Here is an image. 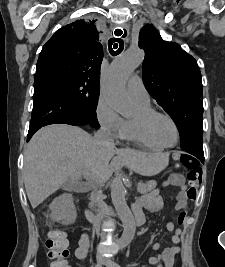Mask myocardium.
Instances as JSON below:
<instances>
[{
	"instance_id": "1",
	"label": "myocardium",
	"mask_w": 225,
	"mask_h": 267,
	"mask_svg": "<svg viewBox=\"0 0 225 267\" xmlns=\"http://www.w3.org/2000/svg\"><path fill=\"white\" fill-rule=\"evenodd\" d=\"M158 117L167 118L173 124V126L175 128V131H176V141H175L174 144H172V145H162V144L158 143V141L156 140V138L154 136V132H153V122ZM144 127H145V130H146L148 136L150 137V139L155 144H157L161 149L174 148L180 141V129H179V126H178L176 120L171 115H169L168 113L161 112V111H156V110L151 111L150 113H148L144 117Z\"/></svg>"
}]
</instances>
